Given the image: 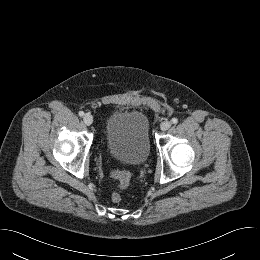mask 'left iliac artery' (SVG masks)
Wrapping results in <instances>:
<instances>
[{
    "instance_id": "obj_1",
    "label": "left iliac artery",
    "mask_w": 260,
    "mask_h": 260,
    "mask_svg": "<svg viewBox=\"0 0 260 260\" xmlns=\"http://www.w3.org/2000/svg\"><path fill=\"white\" fill-rule=\"evenodd\" d=\"M171 122H172L173 124H177V123H178V119H177V118H172V119H171Z\"/></svg>"
}]
</instances>
